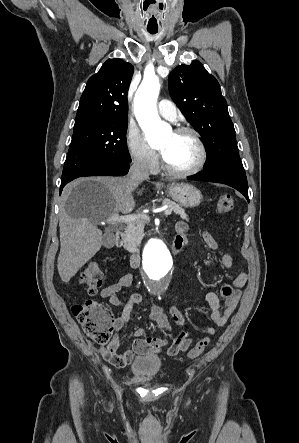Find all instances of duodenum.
<instances>
[{
  "label": "duodenum",
  "instance_id": "duodenum-1",
  "mask_svg": "<svg viewBox=\"0 0 299 443\" xmlns=\"http://www.w3.org/2000/svg\"><path fill=\"white\" fill-rule=\"evenodd\" d=\"M123 232L120 230L116 233V244L119 246L122 243ZM184 248V243L178 240H174V243L171 247V251L173 254H179L182 252ZM141 258L139 254L133 253L130 256V265L132 268H138L140 266Z\"/></svg>",
  "mask_w": 299,
  "mask_h": 443
}]
</instances>
